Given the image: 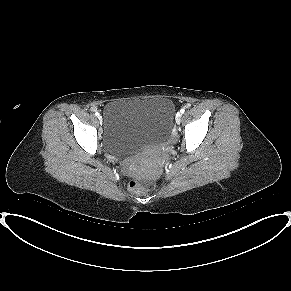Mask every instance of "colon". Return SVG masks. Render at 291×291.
I'll return each mask as SVG.
<instances>
[{
  "label": "colon",
  "mask_w": 291,
  "mask_h": 291,
  "mask_svg": "<svg viewBox=\"0 0 291 291\" xmlns=\"http://www.w3.org/2000/svg\"><path fill=\"white\" fill-rule=\"evenodd\" d=\"M130 186L135 191H144L150 187V184L147 181L133 177L130 182Z\"/></svg>",
  "instance_id": "obj_1"
}]
</instances>
